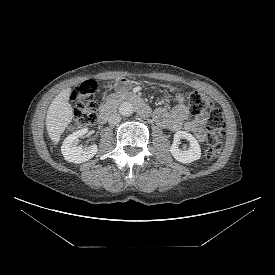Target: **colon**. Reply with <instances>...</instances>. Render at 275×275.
I'll return each instance as SVG.
<instances>
[{
  "label": "colon",
  "mask_w": 275,
  "mask_h": 275,
  "mask_svg": "<svg viewBox=\"0 0 275 275\" xmlns=\"http://www.w3.org/2000/svg\"><path fill=\"white\" fill-rule=\"evenodd\" d=\"M97 85L93 80H87L76 87L71 100L75 106L72 127L84 128L92 125L95 121L97 103L95 92ZM188 110L192 115L209 111L206 122L207 145L204 151L206 159L216 158L222 148V139L225 132V121L221 110L214 107L212 100L203 92L194 90L186 94Z\"/></svg>",
  "instance_id": "5ec220e1"
}]
</instances>
